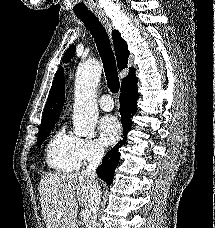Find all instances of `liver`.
Masks as SVG:
<instances>
[{
    "label": "liver",
    "instance_id": "obj_1",
    "mask_svg": "<svg viewBox=\"0 0 215 228\" xmlns=\"http://www.w3.org/2000/svg\"><path fill=\"white\" fill-rule=\"evenodd\" d=\"M92 180L80 174H47L39 186L40 206L46 228H76L78 204L89 210Z\"/></svg>",
    "mask_w": 215,
    "mask_h": 228
}]
</instances>
